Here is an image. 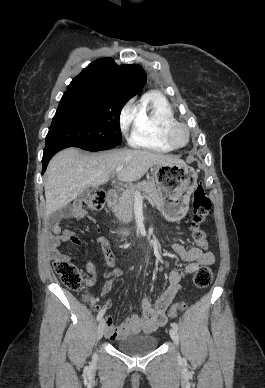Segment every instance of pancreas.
I'll return each instance as SVG.
<instances>
[{
  "label": "pancreas",
  "mask_w": 265,
  "mask_h": 388,
  "mask_svg": "<svg viewBox=\"0 0 265 388\" xmlns=\"http://www.w3.org/2000/svg\"><path fill=\"white\" fill-rule=\"evenodd\" d=\"M136 190L143 192L142 196H149L153 202H155L157 208H162L163 200L159 190H157L154 182L152 180H147V182H138L134 186H129L125 192H123L121 198H119L118 206L112 208L116 218L127 224V222H132L133 220V206H134V194Z\"/></svg>",
  "instance_id": "1"
}]
</instances>
